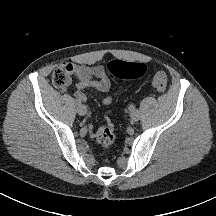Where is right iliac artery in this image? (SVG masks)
I'll return each instance as SVG.
<instances>
[{
  "label": "right iliac artery",
  "instance_id": "1",
  "mask_svg": "<svg viewBox=\"0 0 216 216\" xmlns=\"http://www.w3.org/2000/svg\"><path fill=\"white\" fill-rule=\"evenodd\" d=\"M75 103H76V105H78V106L81 105V101H80L79 99H76V100H75Z\"/></svg>",
  "mask_w": 216,
  "mask_h": 216
}]
</instances>
